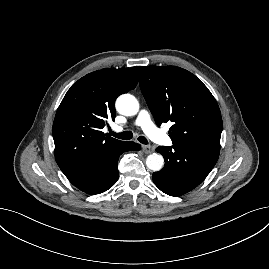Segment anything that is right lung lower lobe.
Returning <instances> with one entry per match:
<instances>
[{"label": "right lung lower lobe", "instance_id": "98d812e1", "mask_svg": "<svg viewBox=\"0 0 269 269\" xmlns=\"http://www.w3.org/2000/svg\"><path fill=\"white\" fill-rule=\"evenodd\" d=\"M140 147V144L132 141L124 142L110 153L97 159L78 175L68 179L85 193L94 195L105 192L118 180L117 164L120 155L125 151H137Z\"/></svg>", "mask_w": 269, "mask_h": 269}]
</instances>
